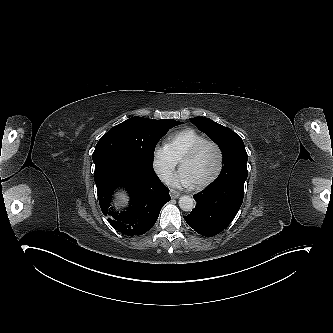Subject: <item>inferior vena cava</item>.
<instances>
[{
	"instance_id": "obj_1",
	"label": "inferior vena cava",
	"mask_w": 333,
	"mask_h": 333,
	"mask_svg": "<svg viewBox=\"0 0 333 333\" xmlns=\"http://www.w3.org/2000/svg\"><path fill=\"white\" fill-rule=\"evenodd\" d=\"M160 179L165 182L166 184L170 183V175L167 171H163L159 173Z\"/></svg>"
}]
</instances>
